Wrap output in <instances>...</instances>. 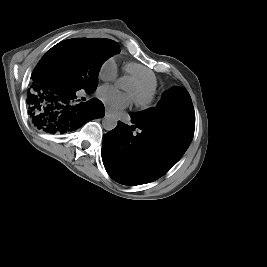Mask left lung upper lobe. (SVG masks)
Instances as JSON below:
<instances>
[{"label":"left lung upper lobe","instance_id":"obj_1","mask_svg":"<svg viewBox=\"0 0 267 267\" xmlns=\"http://www.w3.org/2000/svg\"><path fill=\"white\" fill-rule=\"evenodd\" d=\"M131 119L146 127L171 131L192 141L195 129V112L189 93L173 87L163 94L157 107L130 113Z\"/></svg>","mask_w":267,"mask_h":267}]
</instances>
